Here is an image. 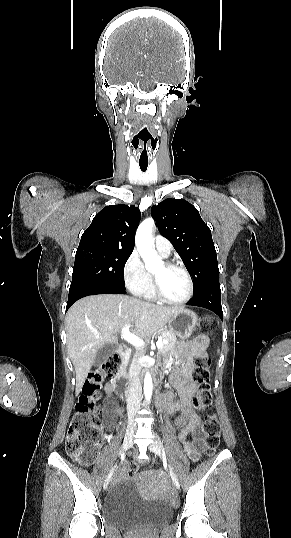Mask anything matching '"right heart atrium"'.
Returning a JSON list of instances; mask_svg holds the SVG:
<instances>
[{
  "label": "right heart atrium",
  "mask_w": 291,
  "mask_h": 538,
  "mask_svg": "<svg viewBox=\"0 0 291 538\" xmlns=\"http://www.w3.org/2000/svg\"><path fill=\"white\" fill-rule=\"evenodd\" d=\"M122 276L127 289L136 296H143L151 281L150 274L135 250L124 262Z\"/></svg>",
  "instance_id": "obj_1"
}]
</instances>
